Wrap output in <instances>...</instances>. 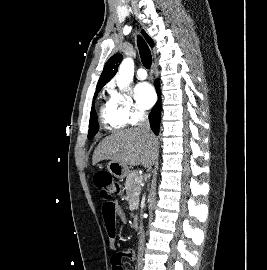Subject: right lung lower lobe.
Returning <instances> with one entry per match:
<instances>
[{
    "label": "right lung lower lobe",
    "mask_w": 267,
    "mask_h": 270,
    "mask_svg": "<svg viewBox=\"0 0 267 270\" xmlns=\"http://www.w3.org/2000/svg\"><path fill=\"white\" fill-rule=\"evenodd\" d=\"M155 87L157 94L159 96L157 103L151 110L149 114V121H150V126L153 132L158 135L159 134V127H160V115H161V99H160V88H159V81H155Z\"/></svg>",
    "instance_id": "1"
}]
</instances>
